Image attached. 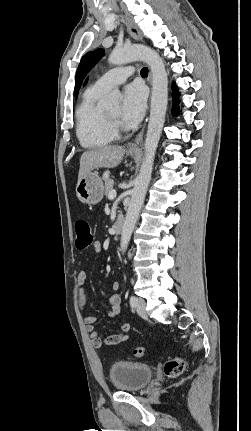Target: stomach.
<instances>
[{
    "instance_id": "0dacf381",
    "label": "stomach",
    "mask_w": 251,
    "mask_h": 431,
    "mask_svg": "<svg viewBox=\"0 0 251 431\" xmlns=\"http://www.w3.org/2000/svg\"><path fill=\"white\" fill-rule=\"evenodd\" d=\"M134 156L137 152H129ZM76 194L79 200L85 204L94 205L100 202L104 195V185L97 172L88 173L76 185Z\"/></svg>"
}]
</instances>
